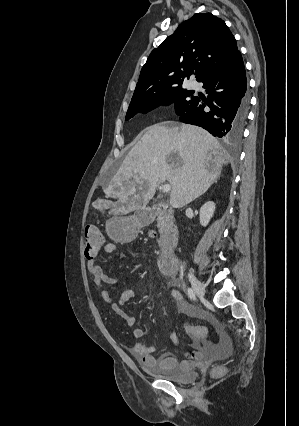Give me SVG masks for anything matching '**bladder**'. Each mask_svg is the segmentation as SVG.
<instances>
[{"instance_id": "1", "label": "bladder", "mask_w": 299, "mask_h": 426, "mask_svg": "<svg viewBox=\"0 0 299 426\" xmlns=\"http://www.w3.org/2000/svg\"><path fill=\"white\" fill-rule=\"evenodd\" d=\"M144 370L150 375L180 384L191 383L197 378V372L194 370L159 369L154 367H144Z\"/></svg>"}]
</instances>
